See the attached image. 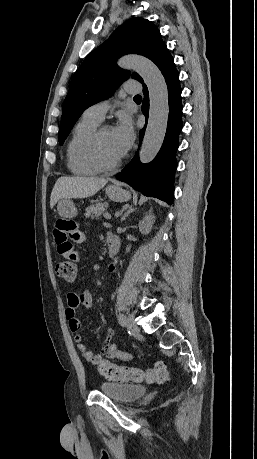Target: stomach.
Returning <instances> with one entry per match:
<instances>
[{"label": "stomach", "mask_w": 257, "mask_h": 459, "mask_svg": "<svg viewBox=\"0 0 257 459\" xmlns=\"http://www.w3.org/2000/svg\"><path fill=\"white\" fill-rule=\"evenodd\" d=\"M107 196L115 202L128 201L131 197L130 193L122 189L118 185H111L106 188ZM57 211L61 217H75L77 208L70 199H60L57 205Z\"/></svg>", "instance_id": "obj_1"}]
</instances>
